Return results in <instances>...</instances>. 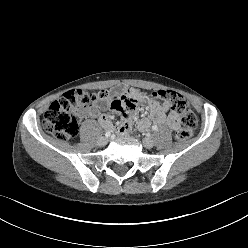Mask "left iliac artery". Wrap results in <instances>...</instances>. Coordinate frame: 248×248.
Wrapping results in <instances>:
<instances>
[{
    "mask_svg": "<svg viewBox=\"0 0 248 248\" xmlns=\"http://www.w3.org/2000/svg\"><path fill=\"white\" fill-rule=\"evenodd\" d=\"M158 127L156 125L152 126V130L157 131Z\"/></svg>",
    "mask_w": 248,
    "mask_h": 248,
    "instance_id": "44dca946",
    "label": "left iliac artery"
}]
</instances>
